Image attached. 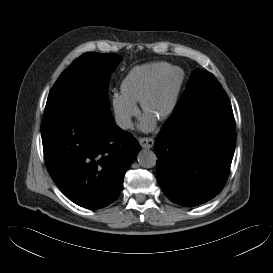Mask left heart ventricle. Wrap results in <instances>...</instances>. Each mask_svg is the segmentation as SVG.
I'll use <instances>...</instances> for the list:
<instances>
[{"mask_svg":"<svg viewBox=\"0 0 273 273\" xmlns=\"http://www.w3.org/2000/svg\"><path fill=\"white\" fill-rule=\"evenodd\" d=\"M178 78V74L175 72H169L162 77L148 99V115L157 118L169 107L177 87Z\"/></svg>","mask_w":273,"mask_h":273,"instance_id":"1","label":"left heart ventricle"}]
</instances>
